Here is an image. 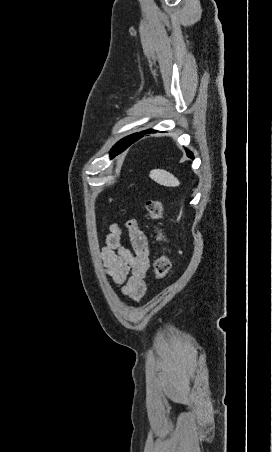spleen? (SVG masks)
I'll return each mask as SVG.
<instances>
[{"instance_id":"3e777b00","label":"spleen","mask_w":272,"mask_h":452,"mask_svg":"<svg viewBox=\"0 0 272 452\" xmlns=\"http://www.w3.org/2000/svg\"><path fill=\"white\" fill-rule=\"evenodd\" d=\"M149 177L160 185L167 187H176L180 185L179 180L170 172L162 169L152 170Z\"/></svg>"}]
</instances>
